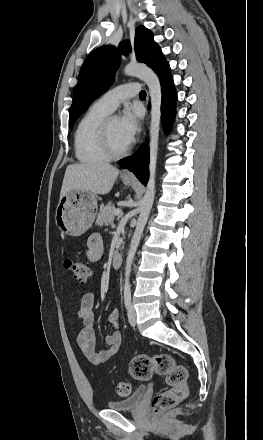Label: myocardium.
Returning <instances> with one entry per match:
<instances>
[{
	"mask_svg": "<svg viewBox=\"0 0 263 440\" xmlns=\"http://www.w3.org/2000/svg\"><path fill=\"white\" fill-rule=\"evenodd\" d=\"M113 118L112 116L105 117L99 127V144L102 152L107 156L108 159H116L125 156L129 150L130 146L128 145L126 148L120 151H115L109 139V122Z\"/></svg>",
	"mask_w": 263,
	"mask_h": 440,
	"instance_id": "myocardium-1",
	"label": "myocardium"
}]
</instances>
